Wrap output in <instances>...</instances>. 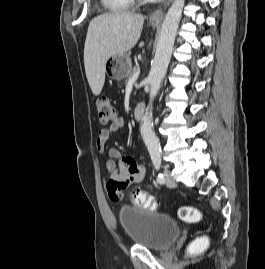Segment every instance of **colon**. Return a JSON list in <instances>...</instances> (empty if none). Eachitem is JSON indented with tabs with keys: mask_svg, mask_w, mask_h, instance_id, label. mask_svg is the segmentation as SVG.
<instances>
[{
	"mask_svg": "<svg viewBox=\"0 0 265 269\" xmlns=\"http://www.w3.org/2000/svg\"><path fill=\"white\" fill-rule=\"evenodd\" d=\"M98 119L101 124H109L116 121V109L107 97H100L96 103ZM131 201L134 205L144 209L152 210L156 207L155 198L149 193L136 189L130 194ZM180 217L185 221H199L201 215L199 211L193 206H183L179 211ZM197 244L191 246V250H195Z\"/></svg>",
	"mask_w": 265,
	"mask_h": 269,
	"instance_id": "5ec220e1",
	"label": "colon"
}]
</instances>
